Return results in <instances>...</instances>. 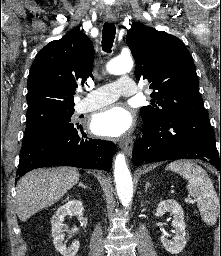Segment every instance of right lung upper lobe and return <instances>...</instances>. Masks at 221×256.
<instances>
[{"instance_id": "obj_1", "label": "right lung upper lobe", "mask_w": 221, "mask_h": 256, "mask_svg": "<svg viewBox=\"0 0 221 256\" xmlns=\"http://www.w3.org/2000/svg\"><path fill=\"white\" fill-rule=\"evenodd\" d=\"M93 60L92 42L80 31H71L42 48L29 72L27 112L73 107L75 90L91 74Z\"/></svg>"}]
</instances>
